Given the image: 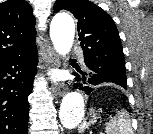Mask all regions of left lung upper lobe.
Masks as SVG:
<instances>
[{
	"label": "left lung upper lobe",
	"mask_w": 153,
	"mask_h": 134,
	"mask_svg": "<svg viewBox=\"0 0 153 134\" xmlns=\"http://www.w3.org/2000/svg\"><path fill=\"white\" fill-rule=\"evenodd\" d=\"M63 9L78 20L80 45L88 69L104 77L106 83L127 86L123 48L111 16L89 0H57L54 11Z\"/></svg>",
	"instance_id": "left-lung-upper-lobe-1"
}]
</instances>
